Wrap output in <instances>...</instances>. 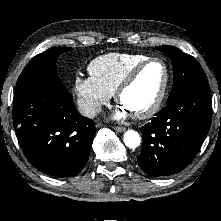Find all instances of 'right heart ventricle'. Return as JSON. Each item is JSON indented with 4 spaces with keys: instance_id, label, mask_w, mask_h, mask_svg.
Here are the masks:
<instances>
[{
    "instance_id": "e07e8e85",
    "label": "right heart ventricle",
    "mask_w": 221,
    "mask_h": 221,
    "mask_svg": "<svg viewBox=\"0 0 221 221\" xmlns=\"http://www.w3.org/2000/svg\"><path fill=\"white\" fill-rule=\"evenodd\" d=\"M148 58L143 54L108 53L93 59L88 72L102 89L112 95L130 70Z\"/></svg>"
}]
</instances>
